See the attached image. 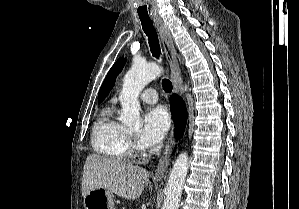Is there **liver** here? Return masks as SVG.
<instances>
[{
  "label": "liver",
  "instance_id": "6515ba94",
  "mask_svg": "<svg viewBox=\"0 0 299 209\" xmlns=\"http://www.w3.org/2000/svg\"><path fill=\"white\" fill-rule=\"evenodd\" d=\"M148 178L149 173L139 166L91 154L83 169L82 196L85 198L94 188H104L123 198L136 199Z\"/></svg>",
  "mask_w": 299,
  "mask_h": 209
}]
</instances>
